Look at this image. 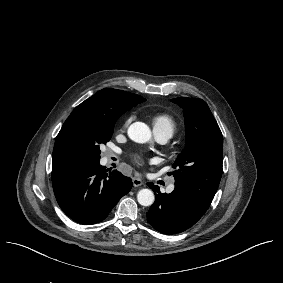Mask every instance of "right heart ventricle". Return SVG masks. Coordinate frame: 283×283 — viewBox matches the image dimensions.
Listing matches in <instances>:
<instances>
[{
  "instance_id": "e07e8e85",
  "label": "right heart ventricle",
  "mask_w": 283,
  "mask_h": 283,
  "mask_svg": "<svg viewBox=\"0 0 283 283\" xmlns=\"http://www.w3.org/2000/svg\"><path fill=\"white\" fill-rule=\"evenodd\" d=\"M152 126L155 133L166 135L171 138L176 130V121L168 115H157L152 118Z\"/></svg>"
}]
</instances>
